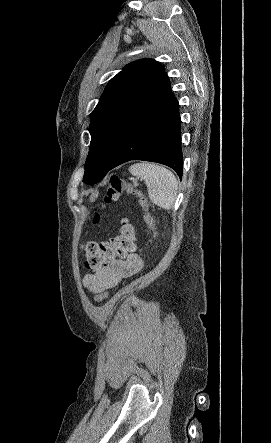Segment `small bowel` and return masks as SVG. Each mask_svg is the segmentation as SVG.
<instances>
[{"instance_id": "1", "label": "small bowel", "mask_w": 271, "mask_h": 443, "mask_svg": "<svg viewBox=\"0 0 271 443\" xmlns=\"http://www.w3.org/2000/svg\"><path fill=\"white\" fill-rule=\"evenodd\" d=\"M143 262L136 253L114 258L93 274L83 278V285L93 293H99L117 286L123 279L128 278L142 268Z\"/></svg>"}]
</instances>
